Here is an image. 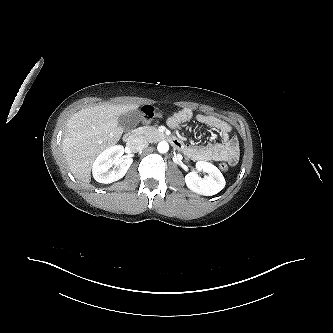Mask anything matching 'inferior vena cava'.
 <instances>
[{
	"mask_svg": "<svg viewBox=\"0 0 333 333\" xmlns=\"http://www.w3.org/2000/svg\"><path fill=\"white\" fill-rule=\"evenodd\" d=\"M148 146V142L142 138L133 139L129 144L128 147L131 151H141Z\"/></svg>",
	"mask_w": 333,
	"mask_h": 333,
	"instance_id": "602c4592",
	"label": "inferior vena cava"
}]
</instances>
